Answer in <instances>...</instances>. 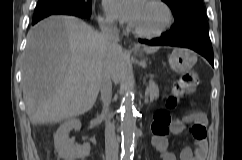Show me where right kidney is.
Segmentation results:
<instances>
[{
	"mask_svg": "<svg viewBox=\"0 0 242 160\" xmlns=\"http://www.w3.org/2000/svg\"><path fill=\"white\" fill-rule=\"evenodd\" d=\"M81 128L79 119H70L65 121L54 135L55 148L59 155L65 160L84 159L90 154V144L75 145L74 141L69 138L72 129Z\"/></svg>",
	"mask_w": 242,
	"mask_h": 160,
	"instance_id": "1",
	"label": "right kidney"
}]
</instances>
